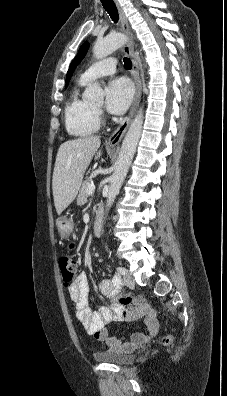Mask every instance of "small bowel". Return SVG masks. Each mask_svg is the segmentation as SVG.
<instances>
[{
	"label": "small bowel",
	"mask_w": 227,
	"mask_h": 396,
	"mask_svg": "<svg viewBox=\"0 0 227 396\" xmlns=\"http://www.w3.org/2000/svg\"><path fill=\"white\" fill-rule=\"evenodd\" d=\"M100 294L110 303L109 306H100L92 311L88 305L89 288L85 272L76 276L69 288V294L75 305L77 319L86 328L89 334L104 341L110 349H121L125 346H134L148 341L159 331V322L153 309L145 302L120 304L126 298L120 294V284L115 279H103L98 284ZM142 319L147 328V334L134 333L130 341L108 336L106 325L111 322L136 321Z\"/></svg>",
	"instance_id": "obj_1"
}]
</instances>
